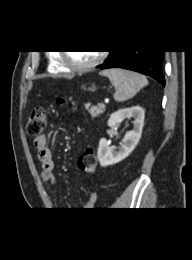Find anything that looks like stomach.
Instances as JSON below:
<instances>
[{"label": "stomach", "instance_id": "obj_1", "mask_svg": "<svg viewBox=\"0 0 192 260\" xmlns=\"http://www.w3.org/2000/svg\"><path fill=\"white\" fill-rule=\"evenodd\" d=\"M91 90L95 89V85L93 84L92 87L90 88Z\"/></svg>", "mask_w": 192, "mask_h": 260}]
</instances>
